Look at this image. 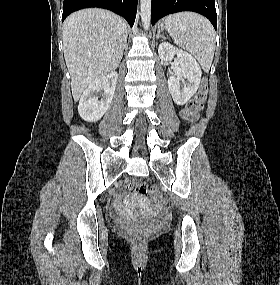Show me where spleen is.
I'll return each instance as SVG.
<instances>
[{
    "mask_svg": "<svg viewBox=\"0 0 280 285\" xmlns=\"http://www.w3.org/2000/svg\"><path fill=\"white\" fill-rule=\"evenodd\" d=\"M165 25L174 42L187 50L208 72L215 51V31L211 23L201 15L184 12L166 17Z\"/></svg>",
    "mask_w": 280,
    "mask_h": 285,
    "instance_id": "1",
    "label": "spleen"
}]
</instances>
